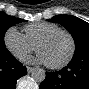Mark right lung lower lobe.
Instances as JSON below:
<instances>
[{
  "label": "right lung lower lobe",
  "mask_w": 89,
  "mask_h": 89,
  "mask_svg": "<svg viewBox=\"0 0 89 89\" xmlns=\"http://www.w3.org/2000/svg\"><path fill=\"white\" fill-rule=\"evenodd\" d=\"M26 74V67L7 49L0 52V89H15L16 81Z\"/></svg>",
  "instance_id": "1"
}]
</instances>
